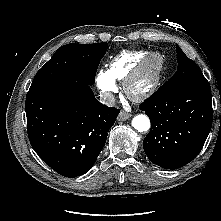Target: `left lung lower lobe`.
Returning a JSON list of instances; mask_svg holds the SVG:
<instances>
[{
    "label": "left lung lower lobe",
    "mask_w": 221,
    "mask_h": 221,
    "mask_svg": "<svg viewBox=\"0 0 221 221\" xmlns=\"http://www.w3.org/2000/svg\"><path fill=\"white\" fill-rule=\"evenodd\" d=\"M139 108L151 121L143 148L152 163L174 170L199 154L213 120L210 88H159Z\"/></svg>",
    "instance_id": "obj_1"
}]
</instances>
